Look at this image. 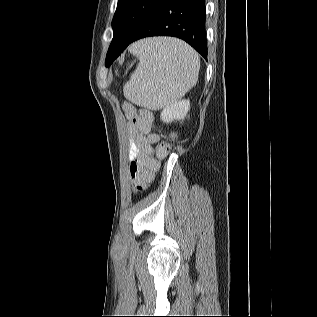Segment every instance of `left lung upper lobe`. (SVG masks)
<instances>
[{
    "label": "left lung upper lobe",
    "instance_id": "obj_1",
    "mask_svg": "<svg viewBox=\"0 0 317 317\" xmlns=\"http://www.w3.org/2000/svg\"><path fill=\"white\" fill-rule=\"evenodd\" d=\"M163 1L118 0L112 21L114 31L112 42L124 44L130 41ZM112 62L111 56L107 54L106 66H110Z\"/></svg>",
    "mask_w": 317,
    "mask_h": 317
}]
</instances>
